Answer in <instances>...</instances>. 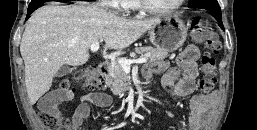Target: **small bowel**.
<instances>
[{
    "label": "small bowel",
    "instance_id": "c3829d8e",
    "mask_svg": "<svg viewBox=\"0 0 257 130\" xmlns=\"http://www.w3.org/2000/svg\"><path fill=\"white\" fill-rule=\"evenodd\" d=\"M199 51L195 46H188L176 58V65L157 62L144 70L146 77L161 74L162 87L174 97H186L194 93L198 76L197 60ZM60 98L56 93L46 95L40 105L43 108H56ZM111 103V97L105 93L94 92L82 96L76 107L70 130H85L84 120L91 115L92 106L106 108ZM211 101L207 96L196 94L190 100L189 130H202L209 118Z\"/></svg>",
    "mask_w": 257,
    "mask_h": 130
}]
</instances>
